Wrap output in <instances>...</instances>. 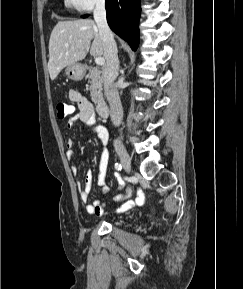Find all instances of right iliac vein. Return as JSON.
<instances>
[{
	"label": "right iliac vein",
	"instance_id": "1",
	"mask_svg": "<svg viewBox=\"0 0 243 289\" xmlns=\"http://www.w3.org/2000/svg\"><path fill=\"white\" fill-rule=\"evenodd\" d=\"M118 155H119L123 168L126 170V172L130 173L131 172V159H130L129 154L126 151H120Z\"/></svg>",
	"mask_w": 243,
	"mask_h": 289
}]
</instances>
